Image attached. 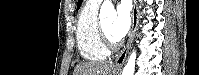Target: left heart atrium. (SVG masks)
<instances>
[{"instance_id":"left-heart-atrium-1","label":"left heart atrium","mask_w":199,"mask_h":75,"mask_svg":"<svg viewBox=\"0 0 199 75\" xmlns=\"http://www.w3.org/2000/svg\"><path fill=\"white\" fill-rule=\"evenodd\" d=\"M131 25L130 10L126 2L117 7V16L113 21L110 33L115 41L121 40L129 31Z\"/></svg>"}]
</instances>
